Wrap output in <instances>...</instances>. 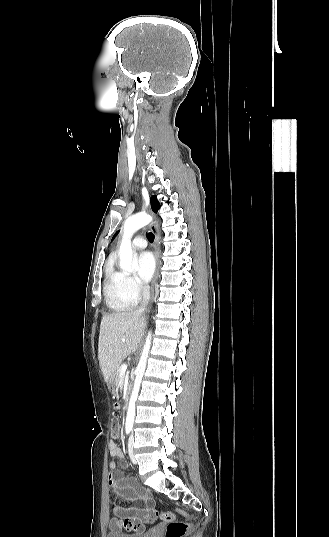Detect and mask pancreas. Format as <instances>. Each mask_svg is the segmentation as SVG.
I'll return each instance as SVG.
<instances>
[{
  "label": "pancreas",
  "instance_id": "obj_1",
  "mask_svg": "<svg viewBox=\"0 0 329 537\" xmlns=\"http://www.w3.org/2000/svg\"><path fill=\"white\" fill-rule=\"evenodd\" d=\"M121 379V366L118 367L115 373V384L118 385Z\"/></svg>",
  "mask_w": 329,
  "mask_h": 537
}]
</instances>
